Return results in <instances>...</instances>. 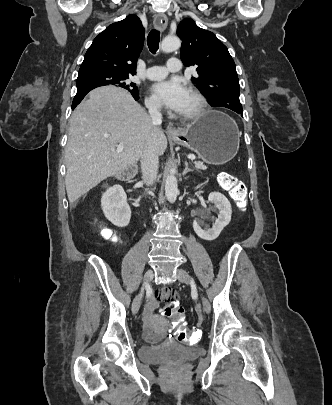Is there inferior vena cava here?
<instances>
[{"mask_svg": "<svg viewBox=\"0 0 332 405\" xmlns=\"http://www.w3.org/2000/svg\"><path fill=\"white\" fill-rule=\"evenodd\" d=\"M149 110V116L153 126H159L162 123L161 104L157 101H151L146 104ZM158 155L154 149L151 139H149L144 147L141 155V171L143 181L147 186L152 185L158 174Z\"/></svg>", "mask_w": 332, "mask_h": 405, "instance_id": "1", "label": "inferior vena cava"}]
</instances>
